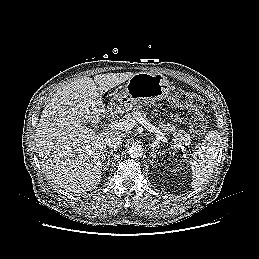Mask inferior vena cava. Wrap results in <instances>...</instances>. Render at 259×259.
<instances>
[{"label":"inferior vena cava","mask_w":259,"mask_h":259,"mask_svg":"<svg viewBox=\"0 0 259 259\" xmlns=\"http://www.w3.org/2000/svg\"><path fill=\"white\" fill-rule=\"evenodd\" d=\"M106 145L109 146L110 148L117 149L120 146H122L123 140L121 136H110L106 140Z\"/></svg>","instance_id":"1"}]
</instances>
